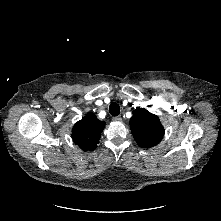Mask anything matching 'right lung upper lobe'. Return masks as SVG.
I'll use <instances>...</instances> for the list:
<instances>
[{
	"label": "right lung upper lobe",
	"instance_id": "obj_1",
	"mask_svg": "<svg viewBox=\"0 0 221 221\" xmlns=\"http://www.w3.org/2000/svg\"><path fill=\"white\" fill-rule=\"evenodd\" d=\"M104 121H99L95 114L88 113L72 129V139L84 151L96 149L104 129Z\"/></svg>",
	"mask_w": 221,
	"mask_h": 221
}]
</instances>
